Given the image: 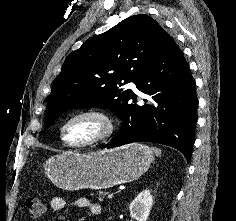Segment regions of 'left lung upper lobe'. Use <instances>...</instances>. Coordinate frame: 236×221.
Segmentation results:
<instances>
[{
	"label": "left lung upper lobe",
	"instance_id": "obj_1",
	"mask_svg": "<svg viewBox=\"0 0 236 221\" xmlns=\"http://www.w3.org/2000/svg\"><path fill=\"white\" fill-rule=\"evenodd\" d=\"M167 33L152 17L134 15L85 41L65 59L47 102L44 128L71 108H109L120 119L136 83Z\"/></svg>",
	"mask_w": 236,
	"mask_h": 221
}]
</instances>
